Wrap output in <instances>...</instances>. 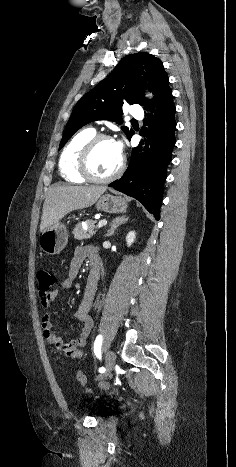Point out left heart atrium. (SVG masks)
I'll return each instance as SVG.
<instances>
[{
	"mask_svg": "<svg viewBox=\"0 0 236 467\" xmlns=\"http://www.w3.org/2000/svg\"><path fill=\"white\" fill-rule=\"evenodd\" d=\"M115 147L117 149V152L119 153L120 156H122L123 152V145L120 141H114Z\"/></svg>",
	"mask_w": 236,
	"mask_h": 467,
	"instance_id": "left-heart-atrium-1",
	"label": "left heart atrium"
}]
</instances>
